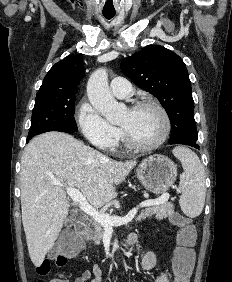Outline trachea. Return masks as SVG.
<instances>
[{
	"mask_svg": "<svg viewBox=\"0 0 232 282\" xmlns=\"http://www.w3.org/2000/svg\"><path fill=\"white\" fill-rule=\"evenodd\" d=\"M103 15L106 19H111L114 17L115 13H103Z\"/></svg>",
	"mask_w": 232,
	"mask_h": 282,
	"instance_id": "1",
	"label": "trachea"
}]
</instances>
